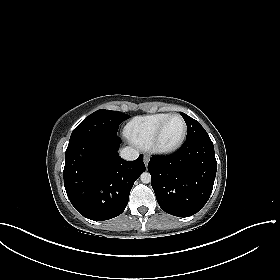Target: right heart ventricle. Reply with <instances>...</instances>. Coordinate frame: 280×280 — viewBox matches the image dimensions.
Wrapping results in <instances>:
<instances>
[{
	"label": "right heart ventricle",
	"instance_id": "1",
	"mask_svg": "<svg viewBox=\"0 0 280 280\" xmlns=\"http://www.w3.org/2000/svg\"><path fill=\"white\" fill-rule=\"evenodd\" d=\"M169 113H156L138 116L127 125V134L140 147H148L160 123Z\"/></svg>",
	"mask_w": 280,
	"mask_h": 280
}]
</instances>
